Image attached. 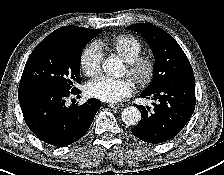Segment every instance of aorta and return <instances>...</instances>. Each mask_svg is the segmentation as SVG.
Instances as JSON below:
<instances>
[{
  "label": "aorta",
  "instance_id": "762f6f07",
  "mask_svg": "<svg viewBox=\"0 0 224 175\" xmlns=\"http://www.w3.org/2000/svg\"><path fill=\"white\" fill-rule=\"evenodd\" d=\"M104 72L109 76L120 77L123 75L124 66L117 56L108 57L103 65ZM122 121L127 125H136L141 119V113L135 106L126 107L121 114Z\"/></svg>",
  "mask_w": 224,
  "mask_h": 175
}]
</instances>
